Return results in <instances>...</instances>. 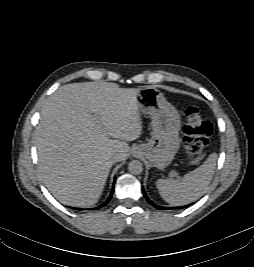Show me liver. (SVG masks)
Listing matches in <instances>:
<instances>
[{
	"instance_id": "liver-1",
	"label": "liver",
	"mask_w": 254,
	"mask_h": 267,
	"mask_svg": "<svg viewBox=\"0 0 254 267\" xmlns=\"http://www.w3.org/2000/svg\"><path fill=\"white\" fill-rule=\"evenodd\" d=\"M139 91L84 82L63 85L48 97L34 142L39 179L60 202L86 207L98 201L113 158L124 161L127 142L142 134Z\"/></svg>"
}]
</instances>
